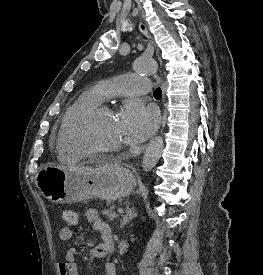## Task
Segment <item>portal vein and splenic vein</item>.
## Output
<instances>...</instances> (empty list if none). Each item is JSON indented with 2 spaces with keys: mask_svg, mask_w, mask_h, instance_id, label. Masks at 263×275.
<instances>
[{
  "mask_svg": "<svg viewBox=\"0 0 263 275\" xmlns=\"http://www.w3.org/2000/svg\"><path fill=\"white\" fill-rule=\"evenodd\" d=\"M117 212H118V213H123V208H118V209H117Z\"/></svg>",
  "mask_w": 263,
  "mask_h": 275,
  "instance_id": "1",
  "label": "portal vein and splenic vein"
}]
</instances>
